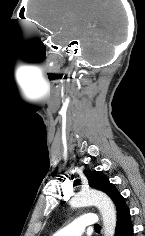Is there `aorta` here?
<instances>
[{
  "label": "aorta",
  "instance_id": "762f6f07",
  "mask_svg": "<svg viewBox=\"0 0 145 236\" xmlns=\"http://www.w3.org/2000/svg\"><path fill=\"white\" fill-rule=\"evenodd\" d=\"M72 208L95 205L101 212L104 236H114L116 229V210L110 198L97 190H82L70 201Z\"/></svg>",
  "mask_w": 145,
  "mask_h": 236
}]
</instances>
